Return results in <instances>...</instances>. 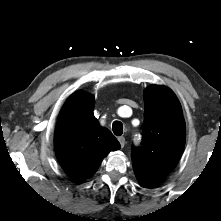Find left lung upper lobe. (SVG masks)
Instances as JSON below:
<instances>
[{
    "label": "left lung upper lobe",
    "mask_w": 221,
    "mask_h": 221,
    "mask_svg": "<svg viewBox=\"0 0 221 221\" xmlns=\"http://www.w3.org/2000/svg\"><path fill=\"white\" fill-rule=\"evenodd\" d=\"M143 141L132 148L134 171L157 182L176 166L185 145V121L175 94L165 86L144 91Z\"/></svg>",
    "instance_id": "obj_1"
}]
</instances>
